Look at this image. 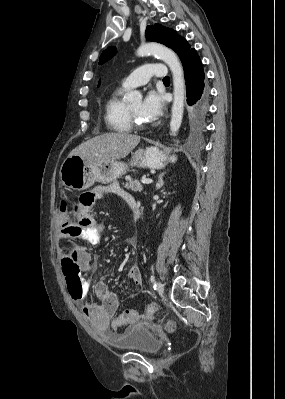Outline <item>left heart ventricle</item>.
Masks as SVG:
<instances>
[{"instance_id": "b2bd125f", "label": "left heart ventricle", "mask_w": 285, "mask_h": 399, "mask_svg": "<svg viewBox=\"0 0 285 399\" xmlns=\"http://www.w3.org/2000/svg\"><path fill=\"white\" fill-rule=\"evenodd\" d=\"M129 107L135 113L137 118L144 122L143 118L140 115L141 101H136V102L132 103Z\"/></svg>"}]
</instances>
